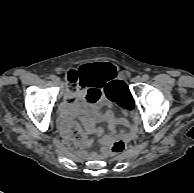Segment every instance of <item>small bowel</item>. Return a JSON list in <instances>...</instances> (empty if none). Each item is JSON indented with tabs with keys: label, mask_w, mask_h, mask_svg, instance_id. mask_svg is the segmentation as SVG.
<instances>
[{
	"label": "small bowel",
	"mask_w": 194,
	"mask_h": 193,
	"mask_svg": "<svg viewBox=\"0 0 194 193\" xmlns=\"http://www.w3.org/2000/svg\"><path fill=\"white\" fill-rule=\"evenodd\" d=\"M119 75V68L110 63H99L89 66L79 74L80 89L69 96L70 102L64 104L61 110L60 130L68 142L82 148V135L85 131L94 130L97 118L105 119L108 127L114 133L118 124H126L122 118L116 117L109 109L101 111L105 99L101 88ZM78 114H83V126H76V134L72 136L71 127Z\"/></svg>",
	"instance_id": "c3829d8e"
}]
</instances>
